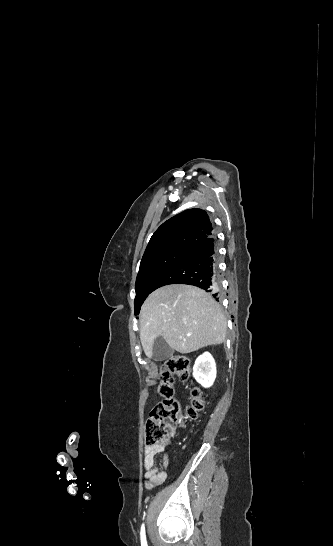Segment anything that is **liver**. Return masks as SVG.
<instances>
[{
  "instance_id": "6515ba94",
  "label": "liver",
  "mask_w": 333,
  "mask_h": 546,
  "mask_svg": "<svg viewBox=\"0 0 333 546\" xmlns=\"http://www.w3.org/2000/svg\"><path fill=\"white\" fill-rule=\"evenodd\" d=\"M140 339L145 355L162 336L179 353L187 354L225 341L227 321L211 294L183 284H170L152 292L142 305Z\"/></svg>"
}]
</instances>
